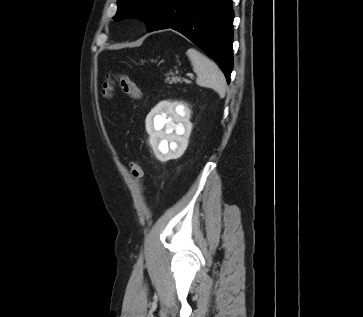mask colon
<instances>
[{
	"label": "colon",
	"mask_w": 363,
	"mask_h": 317,
	"mask_svg": "<svg viewBox=\"0 0 363 317\" xmlns=\"http://www.w3.org/2000/svg\"><path fill=\"white\" fill-rule=\"evenodd\" d=\"M117 81L122 89V91L133 100H136L140 97V90L136 83L125 74H110L102 87V94L106 98H110L113 93V85L114 81ZM130 172L132 177L137 181H142L144 176V171L140 163L134 161L130 165Z\"/></svg>",
	"instance_id": "obj_1"
}]
</instances>
